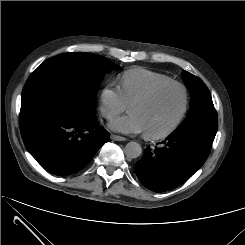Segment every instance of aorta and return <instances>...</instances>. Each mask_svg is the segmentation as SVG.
<instances>
[{"mask_svg":"<svg viewBox=\"0 0 245 245\" xmlns=\"http://www.w3.org/2000/svg\"><path fill=\"white\" fill-rule=\"evenodd\" d=\"M124 152L128 158H137L142 153V148L137 142H129L126 144Z\"/></svg>","mask_w":245,"mask_h":245,"instance_id":"aorta-1","label":"aorta"}]
</instances>
